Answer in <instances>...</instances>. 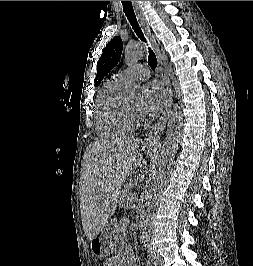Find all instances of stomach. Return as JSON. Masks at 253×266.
Masks as SVG:
<instances>
[{"label":"stomach","mask_w":253,"mask_h":266,"mask_svg":"<svg viewBox=\"0 0 253 266\" xmlns=\"http://www.w3.org/2000/svg\"><path fill=\"white\" fill-rule=\"evenodd\" d=\"M120 235V228L116 219H111L90 242L92 253L105 258L111 255L116 249Z\"/></svg>","instance_id":"1"}]
</instances>
